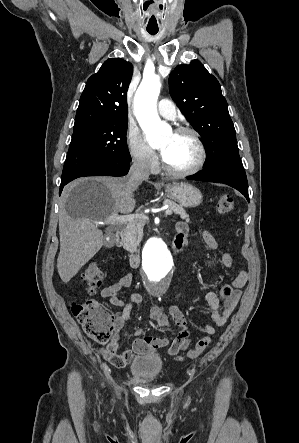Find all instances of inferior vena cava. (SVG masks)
I'll use <instances>...</instances> for the list:
<instances>
[{
	"mask_svg": "<svg viewBox=\"0 0 299 443\" xmlns=\"http://www.w3.org/2000/svg\"><path fill=\"white\" fill-rule=\"evenodd\" d=\"M127 177V190L132 194L142 181L149 178L148 161L144 157L135 158Z\"/></svg>",
	"mask_w": 299,
	"mask_h": 443,
	"instance_id": "inferior-vena-cava-1",
	"label": "inferior vena cava"
}]
</instances>
